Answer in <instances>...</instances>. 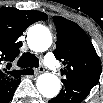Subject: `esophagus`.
<instances>
[{
	"label": "esophagus",
	"instance_id": "34e87169",
	"mask_svg": "<svg viewBox=\"0 0 103 103\" xmlns=\"http://www.w3.org/2000/svg\"><path fill=\"white\" fill-rule=\"evenodd\" d=\"M44 71V68L43 67H39L38 69H35L34 72H35V75H38L40 73H42Z\"/></svg>",
	"mask_w": 103,
	"mask_h": 103
}]
</instances>
